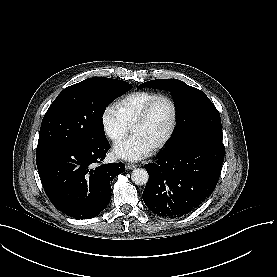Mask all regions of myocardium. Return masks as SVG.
Segmentation results:
<instances>
[{"label":"myocardium","instance_id":"obj_1","mask_svg":"<svg viewBox=\"0 0 277 277\" xmlns=\"http://www.w3.org/2000/svg\"><path fill=\"white\" fill-rule=\"evenodd\" d=\"M158 101H163L168 104L170 108V117L163 135L155 142L150 143L153 149L162 147L169 140V138L173 133L175 123H176V107L174 103L166 96H162V95L156 96L152 101H150L147 104V106L144 108V110L142 111V113L140 114V116L132 126L133 133L141 134V128L144 126L147 120L150 109Z\"/></svg>","mask_w":277,"mask_h":277}]
</instances>
